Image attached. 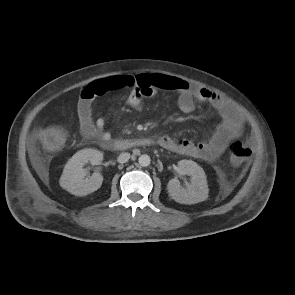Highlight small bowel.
<instances>
[{
	"instance_id": "c3829d8e",
	"label": "small bowel",
	"mask_w": 295,
	"mask_h": 295,
	"mask_svg": "<svg viewBox=\"0 0 295 295\" xmlns=\"http://www.w3.org/2000/svg\"><path fill=\"white\" fill-rule=\"evenodd\" d=\"M127 89L130 91L128 103L136 110L143 108L146 99L159 91H171L177 95L178 105L184 113L195 108L196 101L205 102L215 109L222 118L220 125L205 141H176L170 135L159 138L161 147L204 161H213L225 150L230 140L239 137L244 131V121L238 110L217 93L191 85L185 80L165 74L114 75L96 79L81 91L77 113L80 133L87 139L109 141L111 133L105 129V119L92 118V103L95 98L108 92Z\"/></svg>"
}]
</instances>
